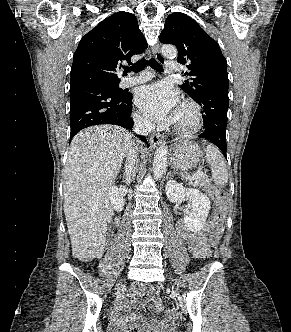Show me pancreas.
<instances>
[{"label": "pancreas", "instance_id": "cf45deb5", "mask_svg": "<svg viewBox=\"0 0 291 332\" xmlns=\"http://www.w3.org/2000/svg\"><path fill=\"white\" fill-rule=\"evenodd\" d=\"M211 184V180L208 176L202 175L195 179V181L192 183L195 187H208Z\"/></svg>", "mask_w": 291, "mask_h": 332}]
</instances>
